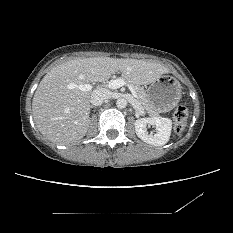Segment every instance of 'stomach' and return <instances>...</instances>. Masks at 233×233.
<instances>
[{
  "instance_id": "0dacf381",
  "label": "stomach",
  "mask_w": 233,
  "mask_h": 233,
  "mask_svg": "<svg viewBox=\"0 0 233 233\" xmlns=\"http://www.w3.org/2000/svg\"><path fill=\"white\" fill-rule=\"evenodd\" d=\"M182 86L173 76L163 75L150 83L146 94L149 104L157 112H168L181 99Z\"/></svg>"
}]
</instances>
